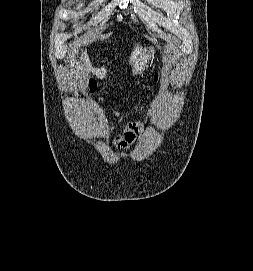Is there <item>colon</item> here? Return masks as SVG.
<instances>
[{"mask_svg":"<svg viewBox=\"0 0 253 271\" xmlns=\"http://www.w3.org/2000/svg\"><path fill=\"white\" fill-rule=\"evenodd\" d=\"M159 78H160V73H157L156 76H155V78H154V81L158 82ZM93 85H94L93 82H90V86L92 87Z\"/></svg>","mask_w":253,"mask_h":271,"instance_id":"obj_1","label":"colon"}]
</instances>
